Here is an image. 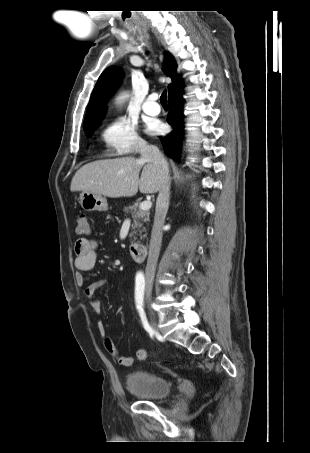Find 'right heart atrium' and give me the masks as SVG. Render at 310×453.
Listing matches in <instances>:
<instances>
[{"mask_svg":"<svg viewBox=\"0 0 310 453\" xmlns=\"http://www.w3.org/2000/svg\"><path fill=\"white\" fill-rule=\"evenodd\" d=\"M101 139L109 156L131 155L146 145L138 135L136 125L124 117L114 118L105 124Z\"/></svg>","mask_w":310,"mask_h":453,"instance_id":"1","label":"right heart atrium"}]
</instances>
